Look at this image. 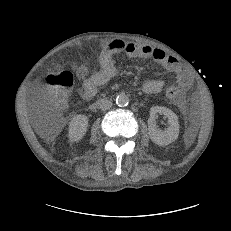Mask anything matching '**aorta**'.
Instances as JSON below:
<instances>
[{"label": "aorta", "instance_id": "762f6f07", "mask_svg": "<svg viewBox=\"0 0 231 231\" xmlns=\"http://www.w3.org/2000/svg\"><path fill=\"white\" fill-rule=\"evenodd\" d=\"M129 103V97L126 95V94H119L117 97H116V104L119 106V107H124V106H127Z\"/></svg>", "mask_w": 231, "mask_h": 231}]
</instances>
